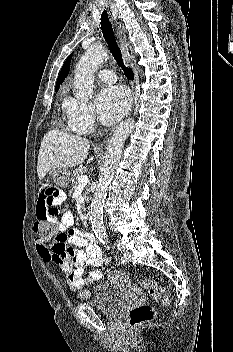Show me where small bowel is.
<instances>
[{"mask_svg": "<svg viewBox=\"0 0 233 352\" xmlns=\"http://www.w3.org/2000/svg\"><path fill=\"white\" fill-rule=\"evenodd\" d=\"M66 194L54 186H43L39 192L36 215L38 220L52 223L58 235L51 243L37 238L36 248L41 258L62 271L68 288H79L101 279L98 267L109 264L93 234L72 228L74 217L67 208L60 209ZM86 267H95L84 277Z\"/></svg>", "mask_w": 233, "mask_h": 352, "instance_id": "1", "label": "small bowel"}]
</instances>
